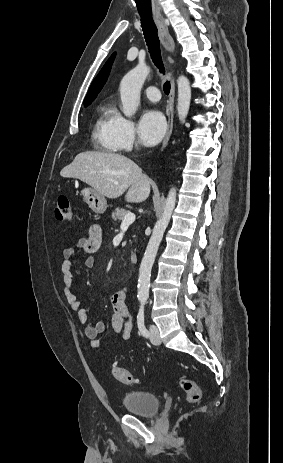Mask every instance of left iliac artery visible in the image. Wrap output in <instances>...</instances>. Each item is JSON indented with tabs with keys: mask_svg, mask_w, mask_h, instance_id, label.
I'll use <instances>...</instances> for the list:
<instances>
[{
	"mask_svg": "<svg viewBox=\"0 0 283 463\" xmlns=\"http://www.w3.org/2000/svg\"><path fill=\"white\" fill-rule=\"evenodd\" d=\"M144 304H145V301H142L139 312H138V315H137V325H138L140 333L144 337L147 338V337H149V332L146 329L145 322H144Z\"/></svg>",
	"mask_w": 283,
	"mask_h": 463,
	"instance_id": "44dca946",
	"label": "left iliac artery"
}]
</instances>
